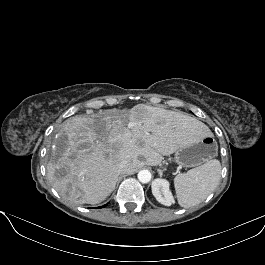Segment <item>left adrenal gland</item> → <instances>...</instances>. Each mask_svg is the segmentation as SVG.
I'll return each instance as SVG.
<instances>
[{
	"mask_svg": "<svg viewBox=\"0 0 265 265\" xmlns=\"http://www.w3.org/2000/svg\"><path fill=\"white\" fill-rule=\"evenodd\" d=\"M158 172H159L160 176H162L163 170H158Z\"/></svg>",
	"mask_w": 265,
	"mask_h": 265,
	"instance_id": "1",
	"label": "left adrenal gland"
}]
</instances>
